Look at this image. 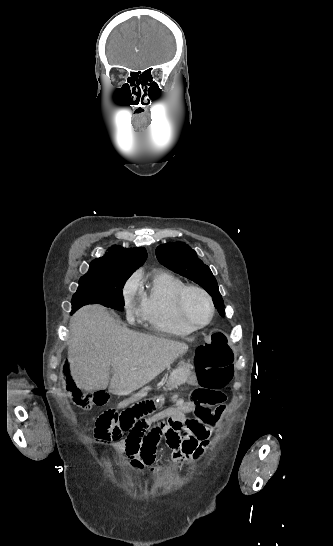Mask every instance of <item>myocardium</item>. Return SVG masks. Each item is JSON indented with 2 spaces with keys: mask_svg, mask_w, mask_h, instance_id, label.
Listing matches in <instances>:
<instances>
[{
  "mask_svg": "<svg viewBox=\"0 0 333 546\" xmlns=\"http://www.w3.org/2000/svg\"><path fill=\"white\" fill-rule=\"evenodd\" d=\"M191 293L200 294L202 297H204V299L208 303L210 315H209V318L204 323L197 324L193 322L187 314V310H186L187 298L189 294ZM176 309L181 321L186 326H188L189 328L193 330H199L208 326L212 322L215 315V305L211 295L205 289L196 285H186L178 292L176 297Z\"/></svg>",
  "mask_w": 333,
  "mask_h": 546,
  "instance_id": "1",
  "label": "myocardium"
}]
</instances>
